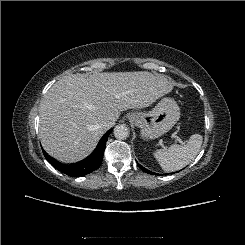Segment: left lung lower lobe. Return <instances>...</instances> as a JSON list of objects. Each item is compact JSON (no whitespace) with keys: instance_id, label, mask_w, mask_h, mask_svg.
<instances>
[{"instance_id":"0a47b994","label":"left lung lower lobe","mask_w":245,"mask_h":245,"mask_svg":"<svg viewBox=\"0 0 245 245\" xmlns=\"http://www.w3.org/2000/svg\"><path fill=\"white\" fill-rule=\"evenodd\" d=\"M137 164H138V166L141 168L142 171H144V172H146V173H150V174H155V175H156V173L150 172L149 170H147V169H145L143 166H141L139 163H137Z\"/></svg>"}]
</instances>
